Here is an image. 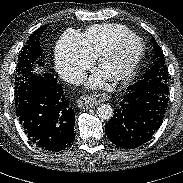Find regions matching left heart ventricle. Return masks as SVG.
Masks as SVG:
<instances>
[{
    "mask_svg": "<svg viewBox=\"0 0 183 183\" xmlns=\"http://www.w3.org/2000/svg\"><path fill=\"white\" fill-rule=\"evenodd\" d=\"M137 51L138 45L136 43L126 45L121 52L108 63L106 68L102 70V73L108 77L112 73L121 71L133 60Z\"/></svg>",
    "mask_w": 183,
    "mask_h": 183,
    "instance_id": "1",
    "label": "left heart ventricle"
}]
</instances>
